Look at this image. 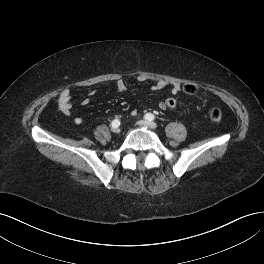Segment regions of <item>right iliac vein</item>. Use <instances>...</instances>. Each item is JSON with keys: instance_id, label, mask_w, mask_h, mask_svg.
<instances>
[{"instance_id": "obj_1", "label": "right iliac vein", "mask_w": 264, "mask_h": 264, "mask_svg": "<svg viewBox=\"0 0 264 264\" xmlns=\"http://www.w3.org/2000/svg\"><path fill=\"white\" fill-rule=\"evenodd\" d=\"M112 131L114 133H119L120 132V128L116 127V128H112Z\"/></svg>"}]
</instances>
